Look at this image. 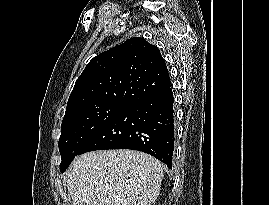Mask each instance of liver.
<instances>
[{
	"label": "liver",
	"mask_w": 269,
	"mask_h": 205,
	"mask_svg": "<svg viewBox=\"0 0 269 205\" xmlns=\"http://www.w3.org/2000/svg\"><path fill=\"white\" fill-rule=\"evenodd\" d=\"M163 167L135 150H100L78 156L67 175L73 205H151L157 199Z\"/></svg>",
	"instance_id": "6515ba94"
}]
</instances>
